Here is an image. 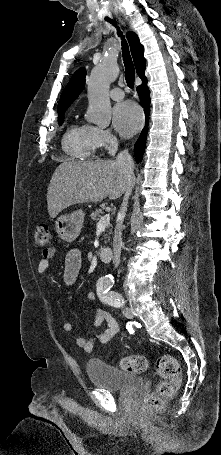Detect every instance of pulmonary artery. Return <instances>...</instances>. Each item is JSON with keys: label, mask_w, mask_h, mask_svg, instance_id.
Wrapping results in <instances>:
<instances>
[{"label": "pulmonary artery", "mask_w": 221, "mask_h": 455, "mask_svg": "<svg viewBox=\"0 0 221 455\" xmlns=\"http://www.w3.org/2000/svg\"><path fill=\"white\" fill-rule=\"evenodd\" d=\"M110 97L115 101H120L123 99L124 93L121 88L116 87L110 91Z\"/></svg>", "instance_id": "pulmonary-artery-1"}]
</instances>
